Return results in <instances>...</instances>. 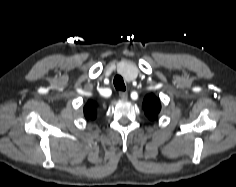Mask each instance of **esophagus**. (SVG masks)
<instances>
[{"instance_id": "obj_1", "label": "esophagus", "mask_w": 236, "mask_h": 187, "mask_svg": "<svg viewBox=\"0 0 236 187\" xmlns=\"http://www.w3.org/2000/svg\"><path fill=\"white\" fill-rule=\"evenodd\" d=\"M119 97L122 99V100H127L128 98V93L127 92H119Z\"/></svg>"}]
</instances>
